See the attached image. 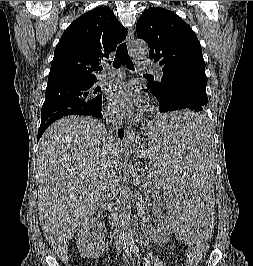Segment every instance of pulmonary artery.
Masks as SVG:
<instances>
[{"mask_svg": "<svg viewBox=\"0 0 253 266\" xmlns=\"http://www.w3.org/2000/svg\"><path fill=\"white\" fill-rule=\"evenodd\" d=\"M139 65L141 66V69L155 73L156 77L159 79L163 75L161 68H159L158 66L151 65L150 63L145 61H140ZM124 76L125 73L122 69L105 67L102 79L107 82H113L122 79Z\"/></svg>", "mask_w": 253, "mask_h": 266, "instance_id": "pulmonary-artery-1", "label": "pulmonary artery"}]
</instances>
